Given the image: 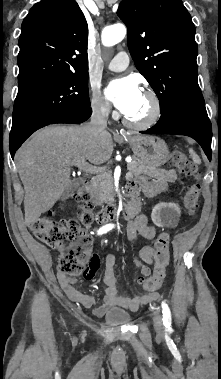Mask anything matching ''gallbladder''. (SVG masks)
Instances as JSON below:
<instances>
[{
    "label": "gallbladder",
    "mask_w": 221,
    "mask_h": 379,
    "mask_svg": "<svg viewBox=\"0 0 221 379\" xmlns=\"http://www.w3.org/2000/svg\"><path fill=\"white\" fill-rule=\"evenodd\" d=\"M75 187H76L75 182H70V184L67 186V188L62 194L61 200L63 201L66 200L71 195Z\"/></svg>",
    "instance_id": "1"
}]
</instances>
